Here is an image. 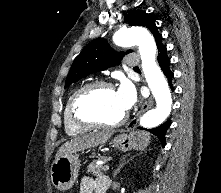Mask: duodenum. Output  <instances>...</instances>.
<instances>
[{"label": "duodenum", "mask_w": 221, "mask_h": 193, "mask_svg": "<svg viewBox=\"0 0 221 193\" xmlns=\"http://www.w3.org/2000/svg\"><path fill=\"white\" fill-rule=\"evenodd\" d=\"M96 193H105V191L100 189V190H97Z\"/></svg>", "instance_id": "obj_1"}]
</instances>
